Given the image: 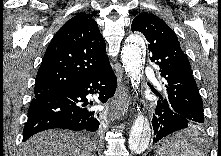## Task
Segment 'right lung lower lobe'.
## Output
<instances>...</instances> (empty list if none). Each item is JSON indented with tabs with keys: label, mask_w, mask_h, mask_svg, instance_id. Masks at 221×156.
<instances>
[{
	"label": "right lung lower lobe",
	"mask_w": 221,
	"mask_h": 156,
	"mask_svg": "<svg viewBox=\"0 0 221 156\" xmlns=\"http://www.w3.org/2000/svg\"><path fill=\"white\" fill-rule=\"evenodd\" d=\"M116 86V77L108 64L62 92L35 95L28 110L23 142L35 133L53 128L97 131L99 114L89 109L93 103L86 96L96 93L105 103L114 95Z\"/></svg>",
	"instance_id": "obj_1"
}]
</instances>
